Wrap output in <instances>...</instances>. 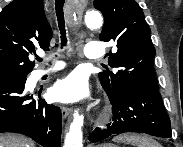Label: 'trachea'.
I'll return each mask as SVG.
<instances>
[{
  "instance_id": "trachea-1",
  "label": "trachea",
  "mask_w": 183,
  "mask_h": 147,
  "mask_svg": "<svg viewBox=\"0 0 183 147\" xmlns=\"http://www.w3.org/2000/svg\"><path fill=\"white\" fill-rule=\"evenodd\" d=\"M64 0H56L55 1V9L58 20V26L61 34V45L62 47L67 44L66 30H65V20H64V12H63ZM37 61H42V58L37 57Z\"/></svg>"
}]
</instances>
